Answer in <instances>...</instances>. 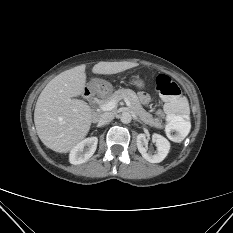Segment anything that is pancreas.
<instances>
[{"label":"pancreas","mask_w":233,"mask_h":233,"mask_svg":"<svg viewBox=\"0 0 233 233\" xmlns=\"http://www.w3.org/2000/svg\"><path fill=\"white\" fill-rule=\"evenodd\" d=\"M123 98H127L130 101L131 103L130 109L139 117V119L142 122L152 127H156L159 129L163 128L158 118L153 117L150 113L146 112L143 109L136 93L132 91L131 89H119L115 91L114 93L99 100V104L100 105L105 104L112 99H116L119 101Z\"/></svg>","instance_id":"cf45deb5"}]
</instances>
